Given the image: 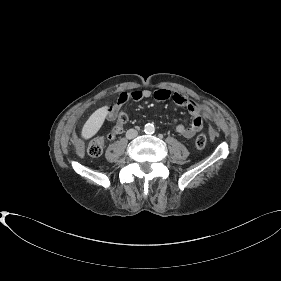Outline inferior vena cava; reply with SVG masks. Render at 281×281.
Here are the masks:
<instances>
[{
  "label": "inferior vena cava",
  "instance_id": "1",
  "mask_svg": "<svg viewBox=\"0 0 281 281\" xmlns=\"http://www.w3.org/2000/svg\"><path fill=\"white\" fill-rule=\"evenodd\" d=\"M137 135H138V132L135 129H129L126 132V138L127 139H133V138L137 137Z\"/></svg>",
  "mask_w": 281,
  "mask_h": 281
}]
</instances>
